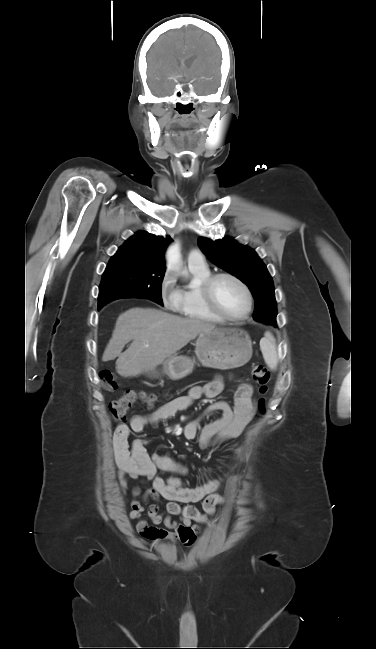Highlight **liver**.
I'll use <instances>...</instances> for the list:
<instances>
[{
  "mask_svg": "<svg viewBox=\"0 0 376 649\" xmlns=\"http://www.w3.org/2000/svg\"><path fill=\"white\" fill-rule=\"evenodd\" d=\"M212 329L214 324L202 320L182 318L154 308H132L117 318L102 361L118 357L117 373L125 378L135 377L176 355L201 332ZM130 341L131 345L122 353Z\"/></svg>",
  "mask_w": 376,
  "mask_h": 649,
  "instance_id": "obj_1",
  "label": "liver"
}]
</instances>
